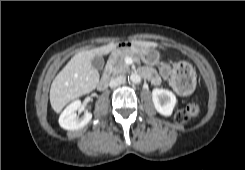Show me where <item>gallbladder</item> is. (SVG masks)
<instances>
[{"mask_svg":"<svg viewBox=\"0 0 245 170\" xmlns=\"http://www.w3.org/2000/svg\"><path fill=\"white\" fill-rule=\"evenodd\" d=\"M104 63V59L101 56H95L91 61L92 66L97 70H101L104 67Z\"/></svg>","mask_w":245,"mask_h":170,"instance_id":"gallbladder-1","label":"gallbladder"}]
</instances>
